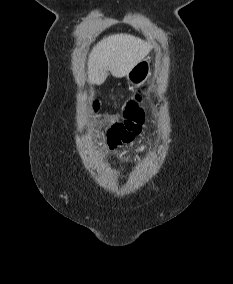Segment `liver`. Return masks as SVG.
Wrapping results in <instances>:
<instances>
[{"label":"liver","instance_id":"1","mask_svg":"<svg viewBox=\"0 0 233 284\" xmlns=\"http://www.w3.org/2000/svg\"><path fill=\"white\" fill-rule=\"evenodd\" d=\"M151 49L150 43L132 35L116 34L102 39L89 55V82L101 85L109 72L116 78L127 76Z\"/></svg>","mask_w":233,"mask_h":284}]
</instances>
